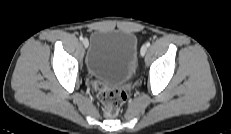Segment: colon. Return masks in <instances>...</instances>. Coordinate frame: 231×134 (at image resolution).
Wrapping results in <instances>:
<instances>
[{
    "mask_svg": "<svg viewBox=\"0 0 231 134\" xmlns=\"http://www.w3.org/2000/svg\"><path fill=\"white\" fill-rule=\"evenodd\" d=\"M95 87L104 107L105 115L108 117L116 116L127 99V90L129 86L127 85L125 88L117 89L96 82Z\"/></svg>",
    "mask_w": 231,
    "mask_h": 134,
    "instance_id": "5ec220e1",
    "label": "colon"
}]
</instances>
